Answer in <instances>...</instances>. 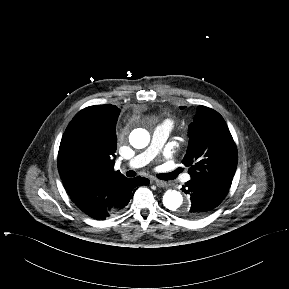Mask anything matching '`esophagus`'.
Masks as SVG:
<instances>
[{"label":"esophagus","mask_w":289,"mask_h":289,"mask_svg":"<svg viewBox=\"0 0 289 289\" xmlns=\"http://www.w3.org/2000/svg\"><path fill=\"white\" fill-rule=\"evenodd\" d=\"M154 183L156 184V186L158 187H166L167 186V183L162 181V180H159V179H154Z\"/></svg>","instance_id":"34e87169"}]
</instances>
